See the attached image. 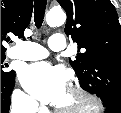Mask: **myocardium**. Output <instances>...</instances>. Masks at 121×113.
I'll list each match as a JSON object with an SVG mask.
<instances>
[{
	"label": "myocardium",
	"mask_w": 121,
	"mask_h": 113,
	"mask_svg": "<svg viewBox=\"0 0 121 113\" xmlns=\"http://www.w3.org/2000/svg\"><path fill=\"white\" fill-rule=\"evenodd\" d=\"M68 90L71 91L72 93L79 95L83 100H85L87 102L88 109H85V110H89L91 112H81V113H94V111L102 110V103L99 100V98L97 96H95L94 94H92L91 92H89L84 87H82L80 85H71L68 88ZM56 110L59 111L60 113H76V111H78L77 109L61 110L59 108H56Z\"/></svg>",
	"instance_id": "obj_1"
}]
</instances>
